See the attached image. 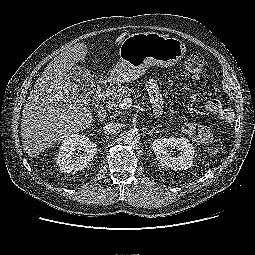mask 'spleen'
Masks as SVG:
<instances>
[{"label":"spleen","mask_w":255,"mask_h":255,"mask_svg":"<svg viewBox=\"0 0 255 255\" xmlns=\"http://www.w3.org/2000/svg\"><path fill=\"white\" fill-rule=\"evenodd\" d=\"M220 147H215L212 151V155H215L217 152H219Z\"/></svg>","instance_id":"1"}]
</instances>
